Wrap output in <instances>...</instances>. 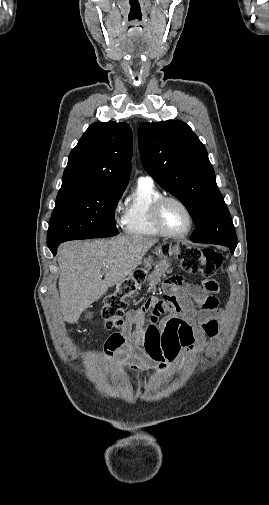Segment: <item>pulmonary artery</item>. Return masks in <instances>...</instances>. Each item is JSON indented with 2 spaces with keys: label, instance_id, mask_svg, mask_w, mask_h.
I'll return each mask as SVG.
<instances>
[{
  "label": "pulmonary artery",
  "instance_id": "1",
  "mask_svg": "<svg viewBox=\"0 0 269 505\" xmlns=\"http://www.w3.org/2000/svg\"><path fill=\"white\" fill-rule=\"evenodd\" d=\"M140 182H150V183H153V179L148 176V175H145V176H141L139 177V180Z\"/></svg>",
  "mask_w": 269,
  "mask_h": 505
}]
</instances>
